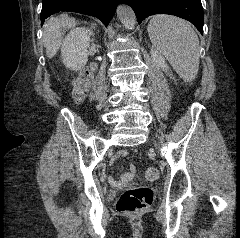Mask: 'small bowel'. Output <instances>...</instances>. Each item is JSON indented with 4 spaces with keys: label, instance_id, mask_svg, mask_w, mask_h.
<instances>
[{
    "label": "small bowel",
    "instance_id": "1",
    "mask_svg": "<svg viewBox=\"0 0 240 238\" xmlns=\"http://www.w3.org/2000/svg\"><path fill=\"white\" fill-rule=\"evenodd\" d=\"M128 155V152L126 150H120L118 151L112 161L124 158ZM128 171H130L131 174H138L139 170L137 169V166H133L130 164V166H128ZM120 175H124L125 171L124 170H120L119 171ZM107 187H119L120 184H125V179H116V175H107Z\"/></svg>",
    "mask_w": 240,
    "mask_h": 238
}]
</instances>
